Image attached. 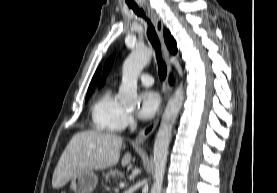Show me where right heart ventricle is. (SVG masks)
<instances>
[{
  "mask_svg": "<svg viewBox=\"0 0 277 193\" xmlns=\"http://www.w3.org/2000/svg\"><path fill=\"white\" fill-rule=\"evenodd\" d=\"M125 114L124 107L115 99L111 89H106L91 107L93 128L103 133L120 132Z\"/></svg>",
  "mask_w": 277,
  "mask_h": 193,
  "instance_id": "e07e8e85",
  "label": "right heart ventricle"
}]
</instances>
